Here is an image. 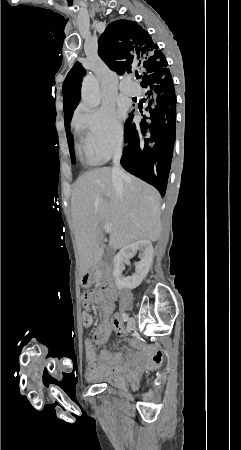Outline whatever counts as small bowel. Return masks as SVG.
I'll return each instance as SVG.
<instances>
[{"instance_id": "small-bowel-1", "label": "small bowel", "mask_w": 241, "mask_h": 450, "mask_svg": "<svg viewBox=\"0 0 241 450\" xmlns=\"http://www.w3.org/2000/svg\"><path fill=\"white\" fill-rule=\"evenodd\" d=\"M90 284V283H89ZM111 283L101 282L90 288L83 294L82 303L86 311L97 306L105 314L104 320L97 327L93 337L85 342L86 355V379L89 382L99 381L102 379H111L114 376L125 374L127 379L133 386L137 384L140 374L147 366L146 360L140 356H127L123 358L121 354H113L109 350H103L100 359L97 356L95 346L105 342L111 330L118 335L124 333V327L118 317H109L111 308L116 296H113L109 290L112 289ZM84 289H88L89 285L84 284ZM108 290V291H107ZM92 316V315H91ZM90 327L91 325H84ZM130 345L133 348H142L147 350L138 340L131 339ZM151 363L154 367H159L164 361V354L161 350H154L149 354Z\"/></svg>"}]
</instances>
